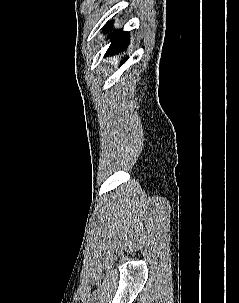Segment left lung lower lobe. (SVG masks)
Listing matches in <instances>:
<instances>
[{
	"instance_id": "0a47b994",
	"label": "left lung lower lobe",
	"mask_w": 239,
	"mask_h": 303,
	"mask_svg": "<svg viewBox=\"0 0 239 303\" xmlns=\"http://www.w3.org/2000/svg\"><path fill=\"white\" fill-rule=\"evenodd\" d=\"M111 28V22H109L105 27L104 31H107ZM113 37L112 44L110 45L109 49L107 50L105 56L113 55L118 53L119 51H123L129 43V33L123 32L122 30L113 32L110 35ZM127 59V58H126Z\"/></svg>"
}]
</instances>
